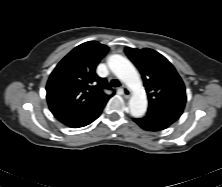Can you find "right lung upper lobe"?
I'll list each match as a JSON object with an SVG mask.
<instances>
[{
  "label": "right lung upper lobe",
  "instance_id": "cb5924a9",
  "mask_svg": "<svg viewBox=\"0 0 222 187\" xmlns=\"http://www.w3.org/2000/svg\"><path fill=\"white\" fill-rule=\"evenodd\" d=\"M97 41L85 42L66 55L51 73L47 82V101L51 112L86 113L105 106L111 89L95 69L108 52Z\"/></svg>",
  "mask_w": 222,
  "mask_h": 187
}]
</instances>
